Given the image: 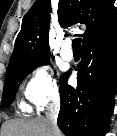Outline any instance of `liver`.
Here are the masks:
<instances>
[{
  "mask_svg": "<svg viewBox=\"0 0 117 136\" xmlns=\"http://www.w3.org/2000/svg\"><path fill=\"white\" fill-rule=\"evenodd\" d=\"M2 136H53L52 126L47 119L10 120L2 127ZM57 136H62L58 131Z\"/></svg>",
  "mask_w": 117,
  "mask_h": 136,
  "instance_id": "liver-1",
  "label": "liver"
}]
</instances>
